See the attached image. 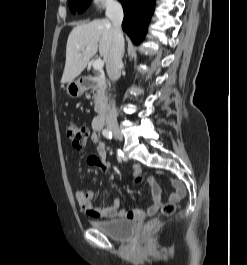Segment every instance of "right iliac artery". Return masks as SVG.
<instances>
[{"label":"right iliac artery","instance_id":"obj_1","mask_svg":"<svg viewBox=\"0 0 247 265\" xmlns=\"http://www.w3.org/2000/svg\"><path fill=\"white\" fill-rule=\"evenodd\" d=\"M102 134H103L104 137H106V138H108V139H111V138H112V133H111V131H109L108 129H104V130L102 131ZM117 155H118V160L121 161L122 153H121L120 150H118Z\"/></svg>","mask_w":247,"mask_h":265}]
</instances>
